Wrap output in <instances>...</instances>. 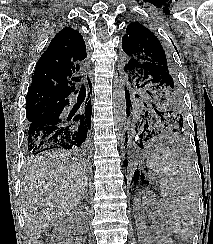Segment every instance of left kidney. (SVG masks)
<instances>
[{
	"label": "left kidney",
	"mask_w": 213,
	"mask_h": 244,
	"mask_svg": "<svg viewBox=\"0 0 213 244\" xmlns=\"http://www.w3.org/2000/svg\"><path fill=\"white\" fill-rule=\"evenodd\" d=\"M146 209L150 210L151 217L154 219L152 232L145 220ZM133 210L142 244H172L161 204L150 191H141L137 194Z\"/></svg>",
	"instance_id": "5707ae66"
}]
</instances>
